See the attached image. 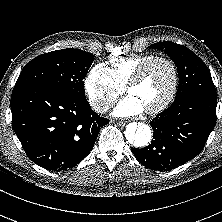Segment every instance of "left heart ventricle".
Here are the masks:
<instances>
[{
  "label": "left heart ventricle",
  "mask_w": 222,
  "mask_h": 222,
  "mask_svg": "<svg viewBox=\"0 0 222 222\" xmlns=\"http://www.w3.org/2000/svg\"><path fill=\"white\" fill-rule=\"evenodd\" d=\"M173 81L170 67L162 62L155 63L146 72L142 81L130 91L144 105L145 109L160 104L168 95Z\"/></svg>",
  "instance_id": "1"
}]
</instances>
